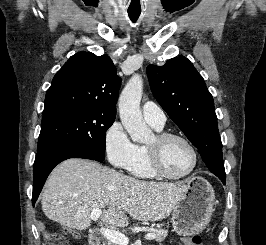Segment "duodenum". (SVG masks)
Masks as SVG:
<instances>
[{
    "label": "duodenum",
    "instance_id": "duodenum-1",
    "mask_svg": "<svg viewBox=\"0 0 266 245\" xmlns=\"http://www.w3.org/2000/svg\"><path fill=\"white\" fill-rule=\"evenodd\" d=\"M89 245H101L98 235L91 233Z\"/></svg>",
    "mask_w": 266,
    "mask_h": 245
}]
</instances>
